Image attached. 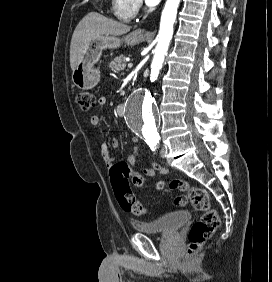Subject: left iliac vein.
<instances>
[{
  "instance_id": "1",
  "label": "left iliac vein",
  "mask_w": 272,
  "mask_h": 282,
  "mask_svg": "<svg viewBox=\"0 0 272 282\" xmlns=\"http://www.w3.org/2000/svg\"><path fill=\"white\" fill-rule=\"evenodd\" d=\"M160 155L162 158H165L166 156V147L162 146L161 150H160Z\"/></svg>"
}]
</instances>
